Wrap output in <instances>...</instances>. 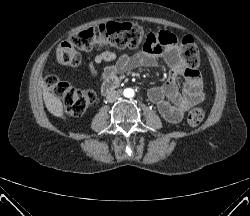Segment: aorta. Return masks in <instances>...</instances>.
<instances>
[{
    "mask_svg": "<svg viewBox=\"0 0 250 216\" xmlns=\"http://www.w3.org/2000/svg\"><path fill=\"white\" fill-rule=\"evenodd\" d=\"M123 94L125 97L131 98L134 96V90L131 88H127L124 90Z\"/></svg>",
    "mask_w": 250,
    "mask_h": 216,
    "instance_id": "1",
    "label": "aorta"
}]
</instances>
